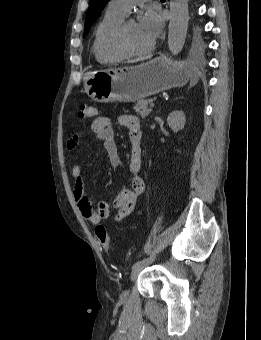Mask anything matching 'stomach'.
<instances>
[{"instance_id": "0dacf381", "label": "stomach", "mask_w": 261, "mask_h": 340, "mask_svg": "<svg viewBox=\"0 0 261 340\" xmlns=\"http://www.w3.org/2000/svg\"><path fill=\"white\" fill-rule=\"evenodd\" d=\"M193 77L188 65L157 57L137 66L90 72L84 79V88L97 102H134L184 86Z\"/></svg>"}]
</instances>
